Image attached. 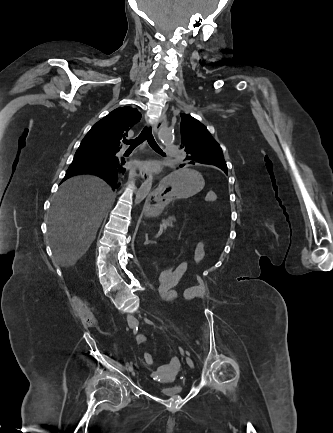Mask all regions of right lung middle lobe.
<instances>
[{
	"label": "right lung middle lobe",
	"instance_id": "1",
	"mask_svg": "<svg viewBox=\"0 0 333 433\" xmlns=\"http://www.w3.org/2000/svg\"><path fill=\"white\" fill-rule=\"evenodd\" d=\"M115 152H108L105 150L96 149L92 146H84L81 145L77 152L76 156H88V157H95V158H108V157H115Z\"/></svg>",
	"mask_w": 333,
	"mask_h": 433
}]
</instances>
